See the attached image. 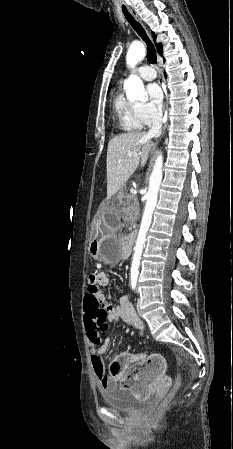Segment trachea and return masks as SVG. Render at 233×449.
Here are the masks:
<instances>
[{
	"label": "trachea",
	"instance_id": "trachea-1",
	"mask_svg": "<svg viewBox=\"0 0 233 449\" xmlns=\"http://www.w3.org/2000/svg\"><path fill=\"white\" fill-rule=\"evenodd\" d=\"M123 14L126 18V20L130 23L132 28L137 32V34L145 41L147 45V60L155 64L157 61L156 56V50L150 39L148 38L144 28L142 25L136 21V19L131 15V13L126 9V7H123Z\"/></svg>",
	"mask_w": 233,
	"mask_h": 449
}]
</instances>
